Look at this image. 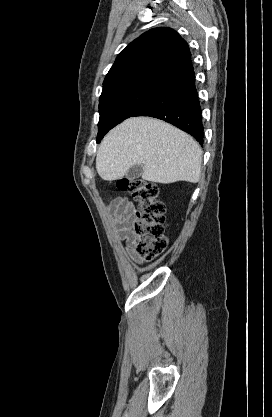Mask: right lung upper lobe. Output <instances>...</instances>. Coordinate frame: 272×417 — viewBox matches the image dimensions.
<instances>
[{
    "mask_svg": "<svg viewBox=\"0 0 272 417\" xmlns=\"http://www.w3.org/2000/svg\"><path fill=\"white\" fill-rule=\"evenodd\" d=\"M191 63L187 42L173 29L154 28L131 42L117 56L103 82L100 100L133 87H161Z\"/></svg>",
    "mask_w": 272,
    "mask_h": 417,
    "instance_id": "1",
    "label": "right lung upper lobe"
}]
</instances>
